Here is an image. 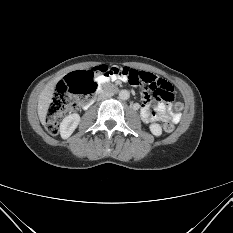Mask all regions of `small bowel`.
<instances>
[{"mask_svg": "<svg viewBox=\"0 0 233 233\" xmlns=\"http://www.w3.org/2000/svg\"><path fill=\"white\" fill-rule=\"evenodd\" d=\"M146 74L152 77H155L153 74H150V73H146ZM100 80L101 81H113L114 80L118 83L126 82L125 78H120L119 76H116V75H113V76L101 75L95 78L96 82H99ZM140 116H141V119L147 123L160 121V122H171L172 124L177 123L181 117L179 113L173 112L170 109L169 105L166 103H159L155 105L153 109H151L148 96L144 97V103L140 108Z\"/></svg>", "mask_w": 233, "mask_h": 233, "instance_id": "obj_1", "label": "small bowel"}]
</instances>
